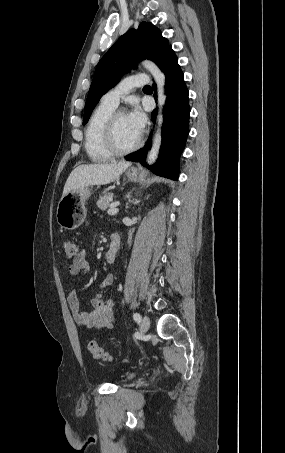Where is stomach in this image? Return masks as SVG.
Listing matches in <instances>:
<instances>
[{
	"mask_svg": "<svg viewBox=\"0 0 285 453\" xmlns=\"http://www.w3.org/2000/svg\"><path fill=\"white\" fill-rule=\"evenodd\" d=\"M126 176L130 181L136 182L139 171L130 168L126 171ZM90 195L91 189L85 187L71 191L61 198L57 206L56 219L62 229L74 230L84 222L87 214L86 201Z\"/></svg>",
	"mask_w": 285,
	"mask_h": 453,
	"instance_id": "stomach-1",
	"label": "stomach"
}]
</instances>
